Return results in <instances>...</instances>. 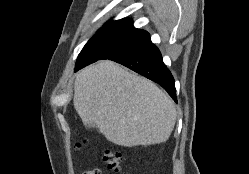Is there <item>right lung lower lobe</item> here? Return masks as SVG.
I'll return each mask as SVG.
<instances>
[{
  "mask_svg": "<svg viewBox=\"0 0 249 174\" xmlns=\"http://www.w3.org/2000/svg\"><path fill=\"white\" fill-rule=\"evenodd\" d=\"M160 84L177 102L175 83L171 72L162 61L159 49L150 38L143 45L109 58Z\"/></svg>",
  "mask_w": 249,
  "mask_h": 174,
  "instance_id": "obj_1",
  "label": "right lung lower lobe"
}]
</instances>
